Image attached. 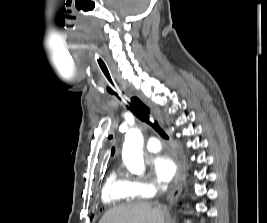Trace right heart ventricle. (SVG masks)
Wrapping results in <instances>:
<instances>
[{
    "instance_id": "obj_1",
    "label": "right heart ventricle",
    "mask_w": 267,
    "mask_h": 223,
    "mask_svg": "<svg viewBox=\"0 0 267 223\" xmlns=\"http://www.w3.org/2000/svg\"><path fill=\"white\" fill-rule=\"evenodd\" d=\"M132 182L120 170H113L108 175L102 190L103 202L115 206L132 200L136 196Z\"/></svg>"
}]
</instances>
